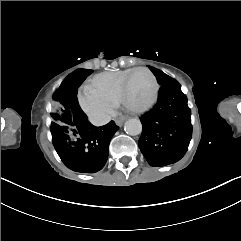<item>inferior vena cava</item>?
Segmentation results:
<instances>
[{
  "mask_svg": "<svg viewBox=\"0 0 241 241\" xmlns=\"http://www.w3.org/2000/svg\"><path fill=\"white\" fill-rule=\"evenodd\" d=\"M110 121H111V117L109 115H102L99 117H94L91 120V123L95 126H102V125H106Z\"/></svg>",
  "mask_w": 241,
  "mask_h": 241,
  "instance_id": "602c4592",
  "label": "inferior vena cava"
}]
</instances>
